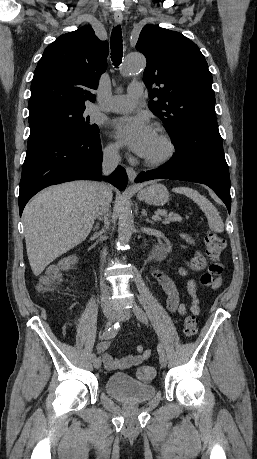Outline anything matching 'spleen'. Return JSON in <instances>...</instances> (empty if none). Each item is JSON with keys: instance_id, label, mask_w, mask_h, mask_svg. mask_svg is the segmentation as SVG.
I'll use <instances>...</instances> for the list:
<instances>
[{"instance_id": "obj_1", "label": "spleen", "mask_w": 257, "mask_h": 459, "mask_svg": "<svg viewBox=\"0 0 257 459\" xmlns=\"http://www.w3.org/2000/svg\"><path fill=\"white\" fill-rule=\"evenodd\" d=\"M174 191L186 195L198 204L207 217L209 228L212 231L216 233H222L224 231L223 220L218 210L205 196H202L198 191L188 187H178L175 188Z\"/></svg>"}]
</instances>
